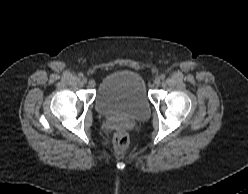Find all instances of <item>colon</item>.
<instances>
[{"label": "colon", "mask_w": 248, "mask_h": 194, "mask_svg": "<svg viewBox=\"0 0 248 194\" xmlns=\"http://www.w3.org/2000/svg\"><path fill=\"white\" fill-rule=\"evenodd\" d=\"M129 146L130 140L125 132L119 131L115 134L113 138V149L117 154H124L129 149Z\"/></svg>", "instance_id": "obj_1"}]
</instances>
